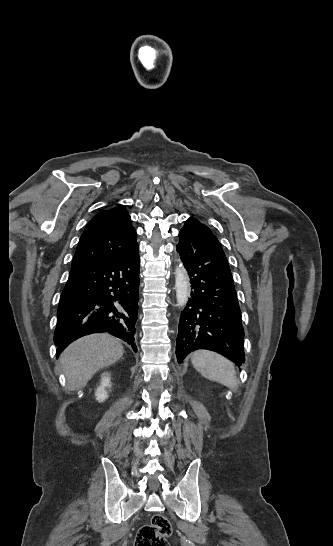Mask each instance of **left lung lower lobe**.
Masks as SVG:
<instances>
[{
	"mask_svg": "<svg viewBox=\"0 0 333 546\" xmlns=\"http://www.w3.org/2000/svg\"><path fill=\"white\" fill-rule=\"evenodd\" d=\"M176 250L190 277L191 298L181 313L176 356L179 363L197 349H208L236 365L245 362L244 330L233 277L212 231L188 219Z\"/></svg>",
	"mask_w": 333,
	"mask_h": 546,
	"instance_id": "obj_1",
	"label": "left lung lower lobe"
}]
</instances>
